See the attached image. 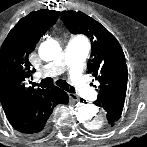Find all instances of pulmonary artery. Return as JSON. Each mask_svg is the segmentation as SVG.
Segmentation results:
<instances>
[{"label":"pulmonary artery","instance_id":"e3ab8cb5","mask_svg":"<svg viewBox=\"0 0 147 147\" xmlns=\"http://www.w3.org/2000/svg\"><path fill=\"white\" fill-rule=\"evenodd\" d=\"M89 47V43L84 37L72 36L65 47L62 61L46 67L44 75H55L67 68L75 91L83 98L93 100L96 97V91L82 75L83 64L89 53Z\"/></svg>","mask_w":147,"mask_h":147}]
</instances>
